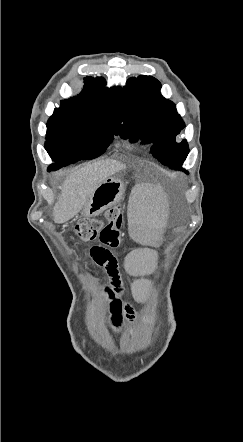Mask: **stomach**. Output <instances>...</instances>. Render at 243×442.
<instances>
[{
  "mask_svg": "<svg viewBox=\"0 0 243 442\" xmlns=\"http://www.w3.org/2000/svg\"><path fill=\"white\" fill-rule=\"evenodd\" d=\"M125 186L121 179L108 177L94 191L82 209L85 217H94L118 203L124 195Z\"/></svg>",
  "mask_w": 243,
  "mask_h": 442,
  "instance_id": "stomach-1",
  "label": "stomach"
}]
</instances>
